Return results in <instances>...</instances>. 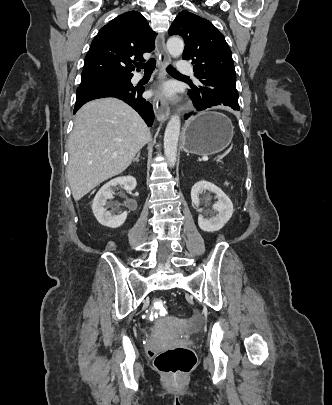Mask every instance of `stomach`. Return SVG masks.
<instances>
[{"instance_id": "stomach-1", "label": "stomach", "mask_w": 332, "mask_h": 405, "mask_svg": "<svg viewBox=\"0 0 332 405\" xmlns=\"http://www.w3.org/2000/svg\"><path fill=\"white\" fill-rule=\"evenodd\" d=\"M232 137L233 126L225 115L203 111L185 124L182 145L188 154L209 156L223 151Z\"/></svg>"}]
</instances>
